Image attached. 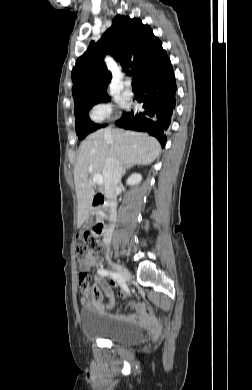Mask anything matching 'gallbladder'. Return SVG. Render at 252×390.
Returning a JSON list of instances; mask_svg holds the SVG:
<instances>
[{
	"instance_id": "bac80fb5",
	"label": "gallbladder",
	"mask_w": 252,
	"mask_h": 390,
	"mask_svg": "<svg viewBox=\"0 0 252 390\" xmlns=\"http://www.w3.org/2000/svg\"><path fill=\"white\" fill-rule=\"evenodd\" d=\"M91 225H92V220L89 219V220L86 222V224L84 225V229H85V230L89 229V228L91 227Z\"/></svg>"
}]
</instances>
